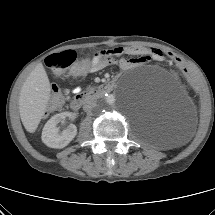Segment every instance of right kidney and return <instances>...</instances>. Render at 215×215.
Listing matches in <instances>:
<instances>
[{
  "mask_svg": "<svg viewBox=\"0 0 215 215\" xmlns=\"http://www.w3.org/2000/svg\"><path fill=\"white\" fill-rule=\"evenodd\" d=\"M66 118L74 120L76 115L71 112H63L51 117L45 124L42 131V141L50 148H64L76 136L77 127L70 124L63 131H60L58 124L64 122Z\"/></svg>",
  "mask_w": 215,
  "mask_h": 215,
  "instance_id": "obj_1",
  "label": "right kidney"
}]
</instances>
